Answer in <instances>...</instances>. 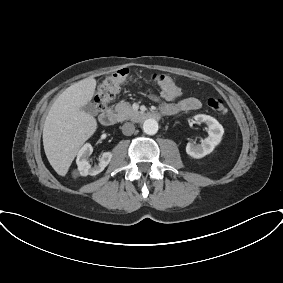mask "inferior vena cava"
<instances>
[{
    "label": "inferior vena cava",
    "instance_id": "602c4592",
    "mask_svg": "<svg viewBox=\"0 0 283 283\" xmlns=\"http://www.w3.org/2000/svg\"><path fill=\"white\" fill-rule=\"evenodd\" d=\"M121 129H122V133L124 135L130 136V135H132L134 133L135 126H134V124L127 122V123L123 124Z\"/></svg>",
    "mask_w": 283,
    "mask_h": 283
}]
</instances>
